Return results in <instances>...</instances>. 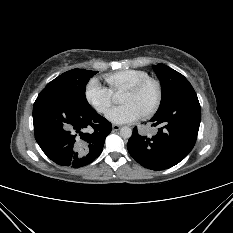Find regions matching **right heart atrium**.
<instances>
[{
  "label": "right heart atrium",
  "instance_id": "right-heart-atrium-1",
  "mask_svg": "<svg viewBox=\"0 0 233 233\" xmlns=\"http://www.w3.org/2000/svg\"><path fill=\"white\" fill-rule=\"evenodd\" d=\"M85 98L96 112L103 114L113 103V92L93 78L85 87Z\"/></svg>",
  "mask_w": 233,
  "mask_h": 233
}]
</instances>
